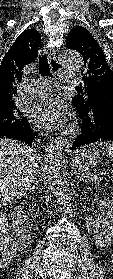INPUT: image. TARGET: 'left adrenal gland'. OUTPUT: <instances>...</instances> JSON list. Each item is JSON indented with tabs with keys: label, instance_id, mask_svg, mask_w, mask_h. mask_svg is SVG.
Returning a JSON list of instances; mask_svg holds the SVG:
<instances>
[{
	"label": "left adrenal gland",
	"instance_id": "obj_1",
	"mask_svg": "<svg viewBox=\"0 0 113 279\" xmlns=\"http://www.w3.org/2000/svg\"><path fill=\"white\" fill-rule=\"evenodd\" d=\"M83 182H87L86 180L84 181V179L83 178H81L80 176H79V174H77V186H79L81 183H83Z\"/></svg>",
	"mask_w": 113,
	"mask_h": 279
}]
</instances>
